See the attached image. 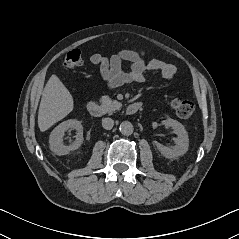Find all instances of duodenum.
I'll return each mask as SVG.
<instances>
[{
    "mask_svg": "<svg viewBox=\"0 0 239 239\" xmlns=\"http://www.w3.org/2000/svg\"><path fill=\"white\" fill-rule=\"evenodd\" d=\"M141 108H142L141 102H134L127 106L126 113L128 115H133V114L139 112L141 110ZM87 110L92 116H95V117H100L103 114L102 107L96 101H90L87 105Z\"/></svg>",
    "mask_w": 239,
    "mask_h": 239,
    "instance_id": "1",
    "label": "duodenum"
}]
</instances>
